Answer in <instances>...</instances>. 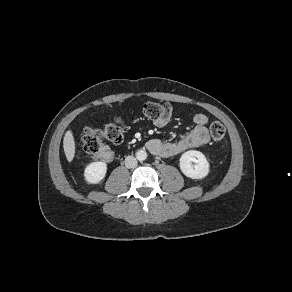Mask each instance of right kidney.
<instances>
[{
  "mask_svg": "<svg viewBox=\"0 0 292 292\" xmlns=\"http://www.w3.org/2000/svg\"><path fill=\"white\" fill-rule=\"evenodd\" d=\"M107 172V164L105 162L90 163L84 171L85 180L90 184L100 183Z\"/></svg>",
  "mask_w": 292,
  "mask_h": 292,
  "instance_id": "ca27d5eb",
  "label": "right kidney"
}]
</instances>
